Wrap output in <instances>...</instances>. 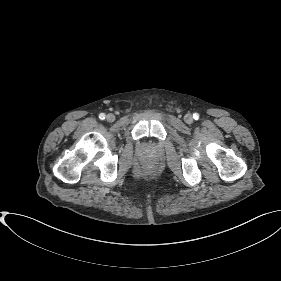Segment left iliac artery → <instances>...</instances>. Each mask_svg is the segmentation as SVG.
Segmentation results:
<instances>
[{
	"instance_id": "1",
	"label": "left iliac artery",
	"mask_w": 281,
	"mask_h": 281,
	"mask_svg": "<svg viewBox=\"0 0 281 281\" xmlns=\"http://www.w3.org/2000/svg\"><path fill=\"white\" fill-rule=\"evenodd\" d=\"M193 118H194L195 120H198L199 114H198V113H194V114H193Z\"/></svg>"
}]
</instances>
